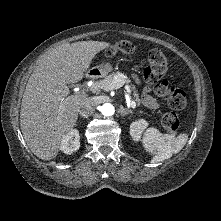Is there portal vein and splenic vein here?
I'll return each mask as SVG.
<instances>
[{
	"instance_id": "obj_1",
	"label": "portal vein and splenic vein",
	"mask_w": 221,
	"mask_h": 221,
	"mask_svg": "<svg viewBox=\"0 0 221 221\" xmlns=\"http://www.w3.org/2000/svg\"><path fill=\"white\" fill-rule=\"evenodd\" d=\"M123 85L119 82V80L116 78V80L113 82L112 85L109 86V89H118L120 87H122ZM125 90H126V100L128 102V104L132 107V108H135L136 107V103L135 101H133L131 99V95H130V89L129 87L126 85L125 86Z\"/></svg>"
}]
</instances>
